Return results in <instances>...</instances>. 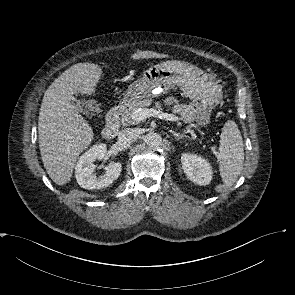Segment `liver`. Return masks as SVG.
Instances as JSON below:
<instances>
[{"mask_svg": "<svg viewBox=\"0 0 295 295\" xmlns=\"http://www.w3.org/2000/svg\"><path fill=\"white\" fill-rule=\"evenodd\" d=\"M168 55L140 51L131 59L166 58ZM102 69L94 63H77L64 71L45 91L39 112L38 138L43 165L58 185L67 184L79 155L94 133L71 104L74 95L95 92Z\"/></svg>", "mask_w": 295, "mask_h": 295, "instance_id": "obj_1", "label": "liver"}]
</instances>
